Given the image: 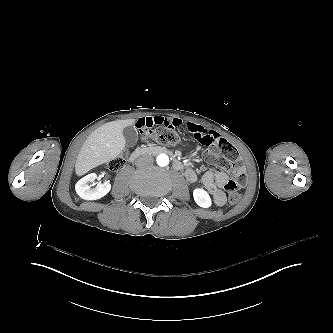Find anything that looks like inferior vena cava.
Instances as JSON below:
<instances>
[{
	"instance_id": "inferior-vena-cava-1",
	"label": "inferior vena cava",
	"mask_w": 333,
	"mask_h": 333,
	"mask_svg": "<svg viewBox=\"0 0 333 333\" xmlns=\"http://www.w3.org/2000/svg\"><path fill=\"white\" fill-rule=\"evenodd\" d=\"M153 162H154V158L152 155L144 154V155H141L139 158H137V160L135 161V165L137 167H143L146 165H150Z\"/></svg>"
}]
</instances>
